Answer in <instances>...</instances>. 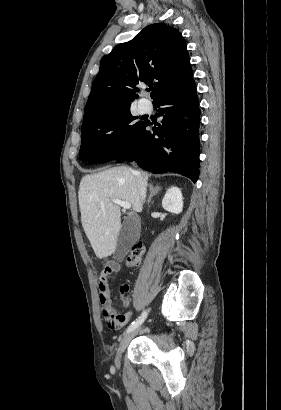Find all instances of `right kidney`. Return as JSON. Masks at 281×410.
<instances>
[{
	"label": "right kidney",
	"instance_id": "obj_1",
	"mask_svg": "<svg viewBox=\"0 0 281 410\" xmlns=\"http://www.w3.org/2000/svg\"><path fill=\"white\" fill-rule=\"evenodd\" d=\"M162 207L171 213L179 214L183 209V197L178 187H171L167 190L163 200Z\"/></svg>",
	"mask_w": 281,
	"mask_h": 410
}]
</instances>
